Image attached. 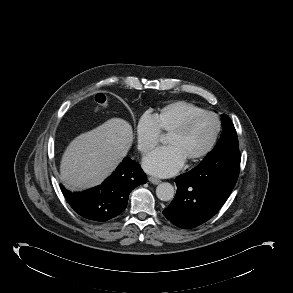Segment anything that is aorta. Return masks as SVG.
<instances>
[{"label": "aorta", "instance_id": "1", "mask_svg": "<svg viewBox=\"0 0 293 293\" xmlns=\"http://www.w3.org/2000/svg\"><path fill=\"white\" fill-rule=\"evenodd\" d=\"M156 195L162 201L172 200L175 195L174 187L167 182L161 183L156 188Z\"/></svg>", "mask_w": 293, "mask_h": 293}]
</instances>
